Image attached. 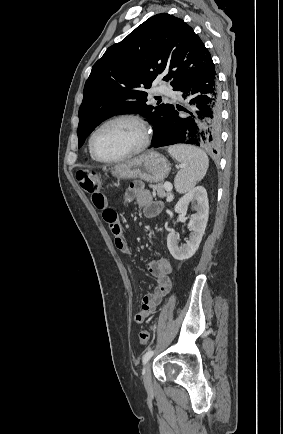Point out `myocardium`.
Instances as JSON below:
<instances>
[{
	"instance_id": "myocardium-1",
	"label": "myocardium",
	"mask_w": 283,
	"mask_h": 434,
	"mask_svg": "<svg viewBox=\"0 0 283 434\" xmlns=\"http://www.w3.org/2000/svg\"><path fill=\"white\" fill-rule=\"evenodd\" d=\"M118 121H129V122L136 124L139 127L141 134H142L141 142L136 149H134L133 151H131L125 155H122V156L116 157V158H110V159L103 158V157L99 156L94 149V144H93L94 138H95L96 134L99 132V130H101L103 127H105L108 124L118 122ZM150 142H151V128H150V125L147 122V120L139 114L123 113V114H118V115H115L113 117H110V118L104 120L102 123H100L92 131V133L89 137L88 146H89V151L95 160L102 162V163L111 164V163H118V162L130 159L134 156L139 155L140 153H142L143 151H145L147 149Z\"/></svg>"
}]
</instances>
